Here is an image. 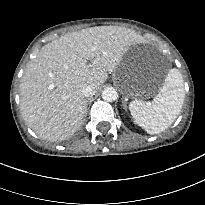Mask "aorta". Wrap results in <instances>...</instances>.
I'll list each match as a JSON object with an SVG mask.
<instances>
[{"label": "aorta", "instance_id": "obj_1", "mask_svg": "<svg viewBox=\"0 0 205 205\" xmlns=\"http://www.w3.org/2000/svg\"><path fill=\"white\" fill-rule=\"evenodd\" d=\"M102 98L107 102H112L117 99V92L113 87H107L102 91Z\"/></svg>", "mask_w": 205, "mask_h": 205}]
</instances>
